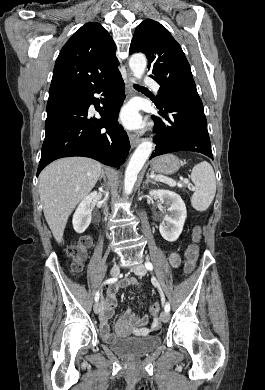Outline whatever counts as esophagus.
I'll return each instance as SVG.
<instances>
[{"instance_id": "34e87169", "label": "esophagus", "mask_w": 265, "mask_h": 390, "mask_svg": "<svg viewBox=\"0 0 265 390\" xmlns=\"http://www.w3.org/2000/svg\"><path fill=\"white\" fill-rule=\"evenodd\" d=\"M136 83L135 78L132 76V74H128V91L129 94L132 95L134 93V84ZM130 144L131 147L134 148L141 142V138L135 134H129Z\"/></svg>"}]
</instances>
